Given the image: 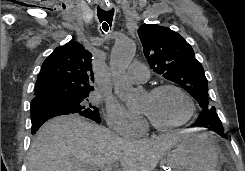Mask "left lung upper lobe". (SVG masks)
I'll return each mask as SVG.
<instances>
[{"label":"left lung upper lobe","mask_w":245,"mask_h":171,"mask_svg":"<svg viewBox=\"0 0 245 171\" xmlns=\"http://www.w3.org/2000/svg\"><path fill=\"white\" fill-rule=\"evenodd\" d=\"M138 34L150 67L189 92L202 111H215L209 104L204 69L191 45L177 32L156 24L141 25Z\"/></svg>","instance_id":"obj_1"}]
</instances>
